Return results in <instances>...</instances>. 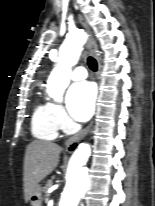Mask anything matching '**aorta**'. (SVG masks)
Instances as JSON below:
<instances>
[{"label": "aorta", "mask_w": 155, "mask_h": 206, "mask_svg": "<svg viewBox=\"0 0 155 206\" xmlns=\"http://www.w3.org/2000/svg\"><path fill=\"white\" fill-rule=\"evenodd\" d=\"M86 35L82 31L68 34L59 50L58 65L47 81V93L55 101L61 102L63 92L69 85L71 68L80 57ZM91 155V147L82 143L73 153L67 170V181L58 206H78L89 189L88 169L85 166Z\"/></svg>", "instance_id": "aorta-1"}]
</instances>
